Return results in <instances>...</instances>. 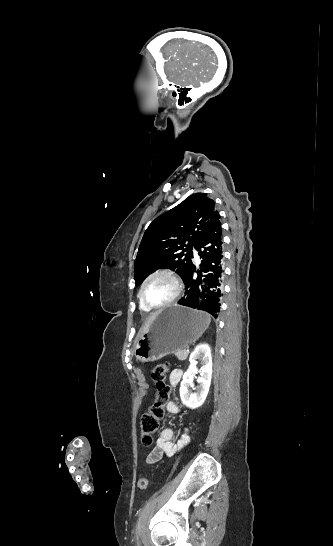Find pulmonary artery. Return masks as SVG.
<instances>
[{"label":"pulmonary artery","mask_w":333,"mask_h":546,"mask_svg":"<svg viewBox=\"0 0 333 546\" xmlns=\"http://www.w3.org/2000/svg\"><path fill=\"white\" fill-rule=\"evenodd\" d=\"M193 254H194L195 259L198 260V254H197L196 250H193Z\"/></svg>","instance_id":"e3ab8cb5"}]
</instances>
